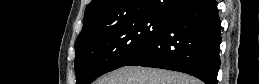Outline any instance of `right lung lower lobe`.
<instances>
[{"instance_id":"right-lung-lower-lobe-1","label":"right lung lower lobe","mask_w":260,"mask_h":84,"mask_svg":"<svg viewBox=\"0 0 260 84\" xmlns=\"http://www.w3.org/2000/svg\"><path fill=\"white\" fill-rule=\"evenodd\" d=\"M221 25L215 0H193L169 15L161 34L126 66L155 67L217 84Z\"/></svg>"}]
</instances>
